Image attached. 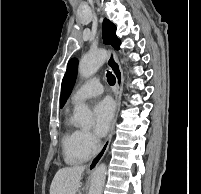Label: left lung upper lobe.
Listing matches in <instances>:
<instances>
[{
	"label": "left lung upper lobe",
	"instance_id": "obj_1",
	"mask_svg": "<svg viewBox=\"0 0 201 194\" xmlns=\"http://www.w3.org/2000/svg\"><path fill=\"white\" fill-rule=\"evenodd\" d=\"M102 37L105 44H110L115 49H119L120 41L116 36V27L112 22H110L106 18L103 21ZM77 67H78V60L76 58L71 59L67 65V70L63 77L61 86V103H60L61 108L64 106L66 100L68 99L73 89L77 75Z\"/></svg>",
	"mask_w": 201,
	"mask_h": 194
}]
</instances>
